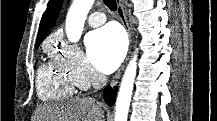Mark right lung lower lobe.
<instances>
[{
    "label": "right lung lower lobe",
    "mask_w": 217,
    "mask_h": 121,
    "mask_svg": "<svg viewBox=\"0 0 217 121\" xmlns=\"http://www.w3.org/2000/svg\"><path fill=\"white\" fill-rule=\"evenodd\" d=\"M116 93H117L116 90H113L109 86L105 88L104 93H103L104 99L109 106L113 105L115 101Z\"/></svg>",
    "instance_id": "obj_1"
}]
</instances>
